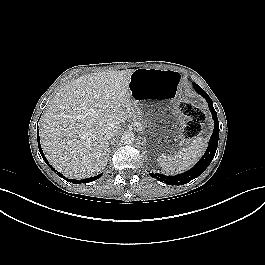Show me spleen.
Instances as JSON below:
<instances>
[{
  "mask_svg": "<svg viewBox=\"0 0 265 265\" xmlns=\"http://www.w3.org/2000/svg\"><path fill=\"white\" fill-rule=\"evenodd\" d=\"M207 145V139L198 137L187 147L181 148L172 155H161L158 162L167 173L181 172L195 164L203 154Z\"/></svg>",
  "mask_w": 265,
  "mask_h": 265,
  "instance_id": "3e777b00",
  "label": "spleen"
}]
</instances>
